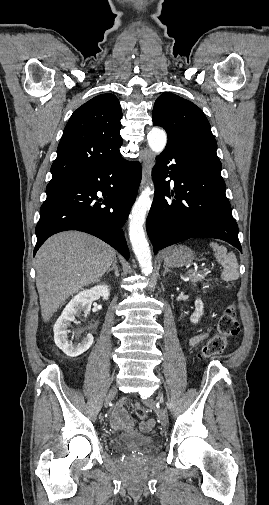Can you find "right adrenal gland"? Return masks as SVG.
Listing matches in <instances>:
<instances>
[{
    "instance_id": "2a0ac1e0",
    "label": "right adrenal gland",
    "mask_w": 269,
    "mask_h": 505,
    "mask_svg": "<svg viewBox=\"0 0 269 505\" xmlns=\"http://www.w3.org/2000/svg\"><path fill=\"white\" fill-rule=\"evenodd\" d=\"M112 270H114V271H115V275H116L117 277H119V269H118V267H117V259H116V258H115V260H114V262H113L112 267H111V268H109V269L107 270V274H108L109 272H111Z\"/></svg>"
}]
</instances>
